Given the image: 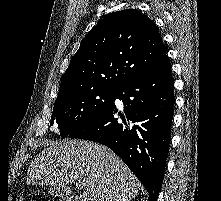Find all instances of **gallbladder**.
I'll list each match as a JSON object with an SVG mask.
<instances>
[{"mask_svg": "<svg viewBox=\"0 0 221 201\" xmlns=\"http://www.w3.org/2000/svg\"><path fill=\"white\" fill-rule=\"evenodd\" d=\"M48 193L55 198L57 197V198L69 199L73 197L72 191L69 188H66L65 186L62 185L50 186L48 188Z\"/></svg>", "mask_w": 221, "mask_h": 201, "instance_id": "gallbladder-1", "label": "gallbladder"}]
</instances>
